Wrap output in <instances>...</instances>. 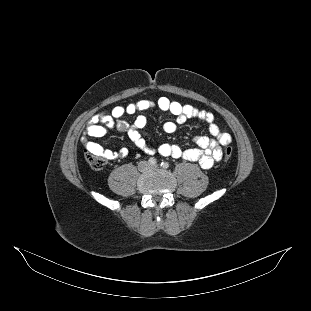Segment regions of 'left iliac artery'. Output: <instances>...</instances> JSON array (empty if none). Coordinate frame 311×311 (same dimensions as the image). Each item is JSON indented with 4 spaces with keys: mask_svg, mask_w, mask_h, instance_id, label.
<instances>
[{
    "mask_svg": "<svg viewBox=\"0 0 311 311\" xmlns=\"http://www.w3.org/2000/svg\"><path fill=\"white\" fill-rule=\"evenodd\" d=\"M161 167L164 169H167V168H169V163L168 162H162Z\"/></svg>",
    "mask_w": 311,
    "mask_h": 311,
    "instance_id": "obj_1",
    "label": "left iliac artery"
}]
</instances>
